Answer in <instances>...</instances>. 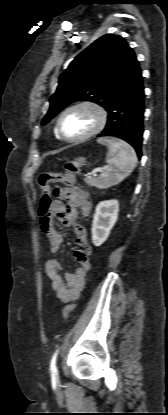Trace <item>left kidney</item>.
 Returning <instances> with one entry per match:
<instances>
[{"mask_svg":"<svg viewBox=\"0 0 168 415\" xmlns=\"http://www.w3.org/2000/svg\"><path fill=\"white\" fill-rule=\"evenodd\" d=\"M119 203L117 200L101 201L95 210L92 224V242L95 246L103 244L118 218Z\"/></svg>","mask_w":168,"mask_h":415,"instance_id":"left-kidney-1","label":"left kidney"}]
</instances>
